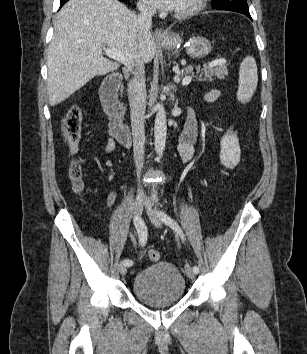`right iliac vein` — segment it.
Wrapping results in <instances>:
<instances>
[{
	"label": "right iliac vein",
	"instance_id": "obj_1",
	"mask_svg": "<svg viewBox=\"0 0 307 354\" xmlns=\"http://www.w3.org/2000/svg\"><path fill=\"white\" fill-rule=\"evenodd\" d=\"M145 201L142 197H138L134 203V214L135 218H140L143 207H144ZM119 272L121 275H125L127 273V266L121 262L119 264Z\"/></svg>",
	"mask_w": 307,
	"mask_h": 354
}]
</instances>
